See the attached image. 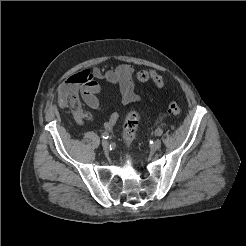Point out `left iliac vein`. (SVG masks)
Instances as JSON below:
<instances>
[{"instance_id": "obj_1", "label": "left iliac vein", "mask_w": 246, "mask_h": 246, "mask_svg": "<svg viewBox=\"0 0 246 246\" xmlns=\"http://www.w3.org/2000/svg\"><path fill=\"white\" fill-rule=\"evenodd\" d=\"M160 147H161V140H159V139L155 140V142L153 144V149L158 150Z\"/></svg>"}]
</instances>
